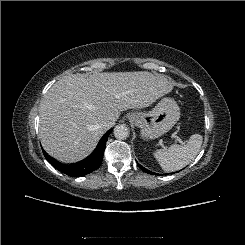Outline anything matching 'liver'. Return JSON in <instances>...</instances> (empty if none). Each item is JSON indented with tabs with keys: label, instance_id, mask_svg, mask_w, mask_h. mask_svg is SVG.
I'll list each match as a JSON object with an SVG mask.
<instances>
[{
	"label": "liver",
	"instance_id": "liver-1",
	"mask_svg": "<svg viewBox=\"0 0 245 245\" xmlns=\"http://www.w3.org/2000/svg\"><path fill=\"white\" fill-rule=\"evenodd\" d=\"M165 75L147 71L103 72L59 79L40 103L39 138L44 150L64 163L87 157L121 111L146 108L171 92Z\"/></svg>",
	"mask_w": 245,
	"mask_h": 245
}]
</instances>
